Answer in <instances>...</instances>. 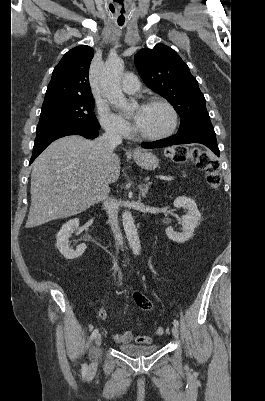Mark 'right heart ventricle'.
Segmentation results:
<instances>
[{"mask_svg": "<svg viewBox=\"0 0 265 401\" xmlns=\"http://www.w3.org/2000/svg\"><path fill=\"white\" fill-rule=\"evenodd\" d=\"M122 137H117L116 139H121Z\"/></svg>", "mask_w": 265, "mask_h": 401, "instance_id": "e07e8e85", "label": "right heart ventricle"}]
</instances>
